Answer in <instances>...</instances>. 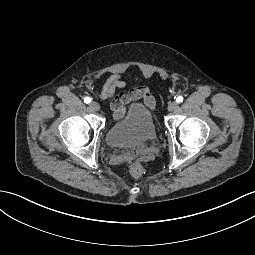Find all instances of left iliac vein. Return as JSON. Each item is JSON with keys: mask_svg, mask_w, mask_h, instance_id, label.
I'll use <instances>...</instances> for the list:
<instances>
[{"mask_svg": "<svg viewBox=\"0 0 255 255\" xmlns=\"http://www.w3.org/2000/svg\"><path fill=\"white\" fill-rule=\"evenodd\" d=\"M177 107H178L177 102L172 101V102H170V103L168 104V111L172 112V111L176 110Z\"/></svg>", "mask_w": 255, "mask_h": 255, "instance_id": "4c4485c4", "label": "left iliac vein"}]
</instances>
